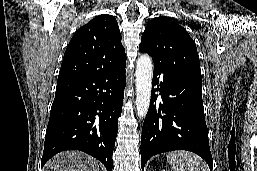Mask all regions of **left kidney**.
I'll use <instances>...</instances> for the list:
<instances>
[{"label": "left kidney", "mask_w": 257, "mask_h": 171, "mask_svg": "<svg viewBox=\"0 0 257 171\" xmlns=\"http://www.w3.org/2000/svg\"><path fill=\"white\" fill-rule=\"evenodd\" d=\"M160 171H166V170L162 169V170H160Z\"/></svg>", "instance_id": "obj_1"}]
</instances>
